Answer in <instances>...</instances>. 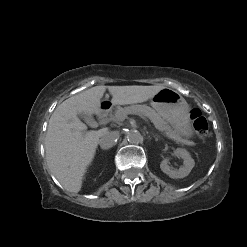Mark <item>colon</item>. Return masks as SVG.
Masks as SVG:
<instances>
[{"label": "colon", "instance_id": "5ec220e1", "mask_svg": "<svg viewBox=\"0 0 247 247\" xmlns=\"http://www.w3.org/2000/svg\"><path fill=\"white\" fill-rule=\"evenodd\" d=\"M190 118L196 134L200 138H205L208 135L209 127L206 118L202 115L200 110L192 109L190 112Z\"/></svg>", "mask_w": 247, "mask_h": 247}]
</instances>
